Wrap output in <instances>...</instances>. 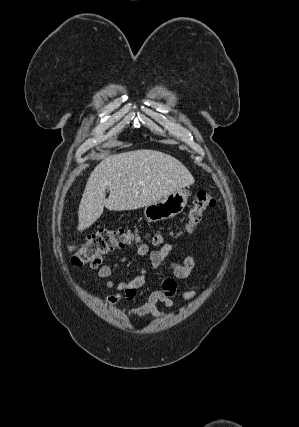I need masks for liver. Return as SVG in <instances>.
<instances>
[{
  "label": "liver",
  "mask_w": 299,
  "mask_h": 427,
  "mask_svg": "<svg viewBox=\"0 0 299 427\" xmlns=\"http://www.w3.org/2000/svg\"><path fill=\"white\" fill-rule=\"evenodd\" d=\"M194 182L179 160L160 151L141 149L109 156L88 178L79 205L77 229L90 227L104 207L112 211L135 210ZM106 189L110 190L107 199ZM68 249L72 251L74 247Z\"/></svg>",
  "instance_id": "6515ba94"
}]
</instances>
